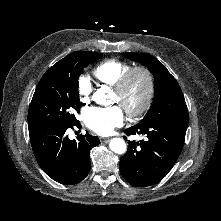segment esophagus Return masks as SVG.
I'll list each match as a JSON object with an SVG mask.
<instances>
[{"instance_id": "esophagus-1", "label": "esophagus", "mask_w": 221, "mask_h": 221, "mask_svg": "<svg viewBox=\"0 0 221 221\" xmlns=\"http://www.w3.org/2000/svg\"><path fill=\"white\" fill-rule=\"evenodd\" d=\"M100 141L102 143H108L110 141V139L109 138H100Z\"/></svg>"}]
</instances>
